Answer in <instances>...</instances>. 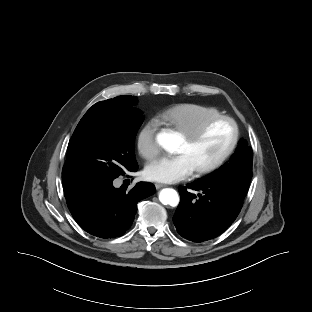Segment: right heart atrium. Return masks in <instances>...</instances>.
I'll use <instances>...</instances> for the list:
<instances>
[{
  "label": "right heart atrium",
  "mask_w": 312,
  "mask_h": 312,
  "mask_svg": "<svg viewBox=\"0 0 312 312\" xmlns=\"http://www.w3.org/2000/svg\"><path fill=\"white\" fill-rule=\"evenodd\" d=\"M158 126V120L151 118L144 123L138 133V150L144 158L149 160L155 158L160 152V146L156 137Z\"/></svg>",
  "instance_id": "d8ad5b80"
}]
</instances>
